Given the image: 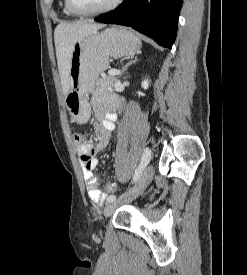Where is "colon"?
Here are the masks:
<instances>
[{
  "label": "colon",
  "mask_w": 247,
  "mask_h": 275,
  "mask_svg": "<svg viewBox=\"0 0 247 275\" xmlns=\"http://www.w3.org/2000/svg\"><path fill=\"white\" fill-rule=\"evenodd\" d=\"M85 136L80 132L73 133V141L76 145L80 146L84 143ZM107 193H114L116 191V185L114 183H110L106 186Z\"/></svg>",
  "instance_id": "colon-1"
}]
</instances>
